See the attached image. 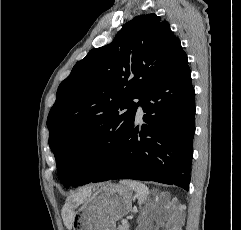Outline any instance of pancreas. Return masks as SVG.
<instances>
[{
    "instance_id": "obj_1",
    "label": "pancreas",
    "mask_w": 241,
    "mask_h": 230,
    "mask_svg": "<svg viewBox=\"0 0 241 230\" xmlns=\"http://www.w3.org/2000/svg\"><path fill=\"white\" fill-rule=\"evenodd\" d=\"M118 230H129V225L128 224L127 225H122V226L119 227Z\"/></svg>"
}]
</instances>
